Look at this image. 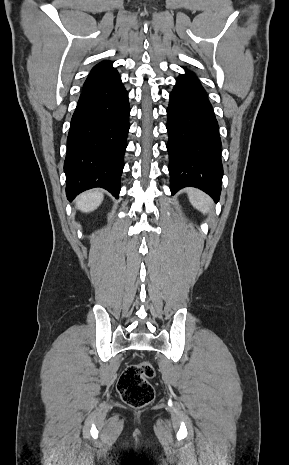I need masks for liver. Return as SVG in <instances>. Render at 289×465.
I'll use <instances>...</instances> for the list:
<instances>
[{
  "mask_svg": "<svg viewBox=\"0 0 289 465\" xmlns=\"http://www.w3.org/2000/svg\"><path fill=\"white\" fill-rule=\"evenodd\" d=\"M102 201L103 193L99 190H91L81 194L76 199V204L82 212H91L97 209Z\"/></svg>",
  "mask_w": 289,
  "mask_h": 465,
  "instance_id": "obj_1",
  "label": "liver"
}]
</instances>
